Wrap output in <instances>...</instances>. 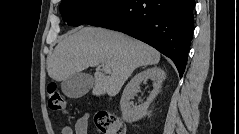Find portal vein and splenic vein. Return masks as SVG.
<instances>
[{"label": "portal vein and splenic vein", "instance_id": "18ae733b", "mask_svg": "<svg viewBox=\"0 0 239 134\" xmlns=\"http://www.w3.org/2000/svg\"><path fill=\"white\" fill-rule=\"evenodd\" d=\"M101 65H102V67H103V70H104L105 72H107V73H109V72H110V68H109V66H108V65H106V64H104V63H101Z\"/></svg>", "mask_w": 239, "mask_h": 134}]
</instances>
